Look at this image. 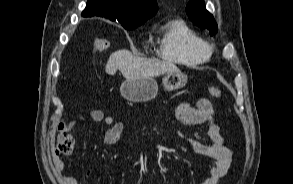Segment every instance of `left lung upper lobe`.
I'll list each match as a JSON object with an SVG mask.
<instances>
[{
	"label": "left lung upper lobe",
	"mask_w": 293,
	"mask_h": 184,
	"mask_svg": "<svg viewBox=\"0 0 293 184\" xmlns=\"http://www.w3.org/2000/svg\"><path fill=\"white\" fill-rule=\"evenodd\" d=\"M186 13L198 27L208 29L210 35L217 33V24L213 15L206 10L204 0H190L186 6Z\"/></svg>",
	"instance_id": "5c2ea615"
}]
</instances>
